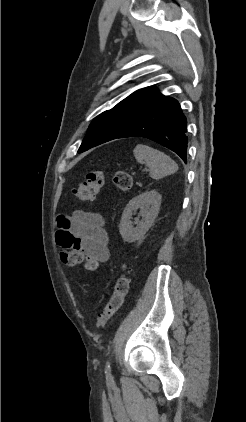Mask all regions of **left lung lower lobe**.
<instances>
[{"label":"left lung lower lobe","instance_id":"0a47b994","mask_svg":"<svg viewBox=\"0 0 246 422\" xmlns=\"http://www.w3.org/2000/svg\"><path fill=\"white\" fill-rule=\"evenodd\" d=\"M187 120L177 100L163 98L118 138L144 137L174 151L186 163Z\"/></svg>","mask_w":246,"mask_h":422}]
</instances>
